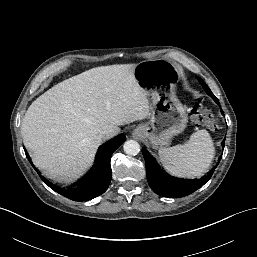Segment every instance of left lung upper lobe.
<instances>
[{
	"mask_svg": "<svg viewBox=\"0 0 257 257\" xmlns=\"http://www.w3.org/2000/svg\"><path fill=\"white\" fill-rule=\"evenodd\" d=\"M198 80H199L200 84L202 85V87L204 88V90L206 91V93L214 99L215 96L213 95V93L211 92L209 87L203 82V80L201 78H198Z\"/></svg>",
	"mask_w": 257,
	"mask_h": 257,
	"instance_id": "1",
	"label": "left lung upper lobe"
}]
</instances>
